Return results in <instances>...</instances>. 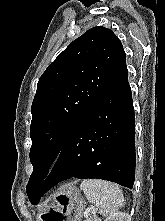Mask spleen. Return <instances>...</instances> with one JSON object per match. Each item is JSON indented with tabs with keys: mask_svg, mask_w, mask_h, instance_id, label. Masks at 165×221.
<instances>
[{
	"mask_svg": "<svg viewBox=\"0 0 165 221\" xmlns=\"http://www.w3.org/2000/svg\"><path fill=\"white\" fill-rule=\"evenodd\" d=\"M80 189L87 200L95 204L99 208V213L105 217L112 215L124 204L123 193L116 184L88 179L81 183Z\"/></svg>",
	"mask_w": 165,
	"mask_h": 221,
	"instance_id": "obj_1",
	"label": "spleen"
}]
</instances>
